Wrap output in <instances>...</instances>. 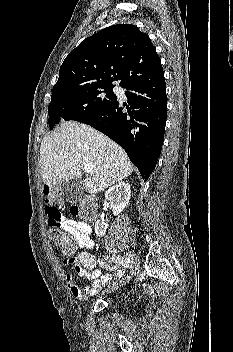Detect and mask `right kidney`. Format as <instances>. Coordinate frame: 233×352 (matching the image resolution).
I'll list each match as a JSON object with an SVG mask.
<instances>
[{"mask_svg": "<svg viewBox=\"0 0 233 352\" xmlns=\"http://www.w3.org/2000/svg\"><path fill=\"white\" fill-rule=\"evenodd\" d=\"M130 196V185L125 182H119L118 184L110 187L105 193V198L108 200L115 216H118L128 205ZM107 228L108 224L104 220L96 221L95 233L97 236H104Z\"/></svg>", "mask_w": 233, "mask_h": 352, "instance_id": "obj_1", "label": "right kidney"}]
</instances>
